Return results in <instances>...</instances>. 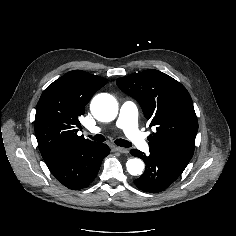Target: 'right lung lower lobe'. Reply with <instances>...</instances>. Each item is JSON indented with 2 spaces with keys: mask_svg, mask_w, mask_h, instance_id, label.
Returning <instances> with one entry per match:
<instances>
[{
  "mask_svg": "<svg viewBox=\"0 0 236 236\" xmlns=\"http://www.w3.org/2000/svg\"><path fill=\"white\" fill-rule=\"evenodd\" d=\"M110 153L106 144H74L44 160L50 172L71 190L87 187L97 176L102 160Z\"/></svg>",
  "mask_w": 236,
  "mask_h": 236,
  "instance_id": "1",
  "label": "right lung lower lobe"
}]
</instances>
